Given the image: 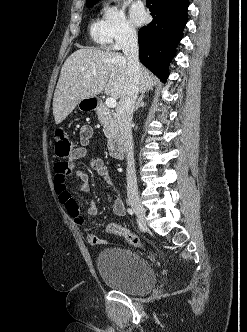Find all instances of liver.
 Returning a JSON list of instances; mask_svg holds the SVG:
<instances>
[{"instance_id": "liver-1", "label": "liver", "mask_w": 247, "mask_h": 332, "mask_svg": "<svg viewBox=\"0 0 247 332\" xmlns=\"http://www.w3.org/2000/svg\"><path fill=\"white\" fill-rule=\"evenodd\" d=\"M128 61L122 54L84 47L64 62L54 92L53 115L56 124L63 122L83 99L93 98L102 91L120 99L128 78ZM157 79L141 67L139 89L144 94Z\"/></svg>"}]
</instances>
